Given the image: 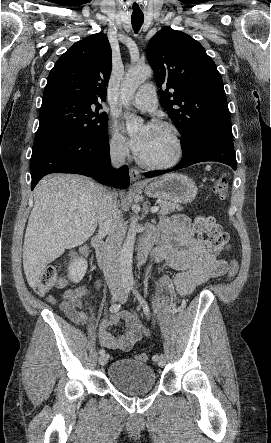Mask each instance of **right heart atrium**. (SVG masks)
<instances>
[{"instance_id": "obj_1", "label": "right heart atrium", "mask_w": 271, "mask_h": 443, "mask_svg": "<svg viewBox=\"0 0 271 443\" xmlns=\"http://www.w3.org/2000/svg\"><path fill=\"white\" fill-rule=\"evenodd\" d=\"M109 149L116 156H124L128 152L127 139L122 135L118 125L111 122L109 125Z\"/></svg>"}]
</instances>
